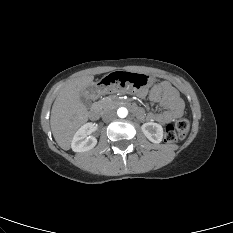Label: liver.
<instances>
[{
	"label": "liver",
	"mask_w": 233,
	"mask_h": 233,
	"mask_svg": "<svg viewBox=\"0 0 233 233\" xmlns=\"http://www.w3.org/2000/svg\"><path fill=\"white\" fill-rule=\"evenodd\" d=\"M93 80V75H86L69 81L53 103L51 130L55 141L64 150L70 148L76 131L88 120V110L80 96L86 88L93 85Z\"/></svg>",
	"instance_id": "obj_1"
}]
</instances>
